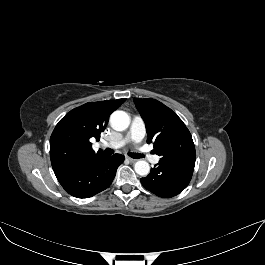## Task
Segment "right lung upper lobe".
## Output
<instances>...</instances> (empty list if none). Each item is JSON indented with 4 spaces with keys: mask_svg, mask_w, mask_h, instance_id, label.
<instances>
[{
    "mask_svg": "<svg viewBox=\"0 0 265 265\" xmlns=\"http://www.w3.org/2000/svg\"><path fill=\"white\" fill-rule=\"evenodd\" d=\"M126 99L86 103L68 112L50 137V159L56 177L65 175L103 155L92 149L90 138L99 140L109 116Z\"/></svg>",
    "mask_w": 265,
    "mask_h": 265,
    "instance_id": "cb5924a9",
    "label": "right lung upper lobe"
}]
</instances>
